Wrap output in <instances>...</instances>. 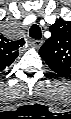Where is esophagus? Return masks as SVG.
<instances>
[{
	"label": "esophagus",
	"instance_id": "obj_1",
	"mask_svg": "<svg viewBox=\"0 0 71 119\" xmlns=\"http://www.w3.org/2000/svg\"><path fill=\"white\" fill-rule=\"evenodd\" d=\"M43 44V41L42 40H33L31 42V46L36 48V49H39Z\"/></svg>",
	"mask_w": 71,
	"mask_h": 119
}]
</instances>
